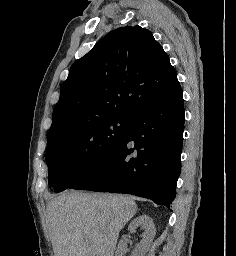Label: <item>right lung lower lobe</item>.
I'll return each instance as SVG.
<instances>
[{"mask_svg":"<svg viewBox=\"0 0 236 256\" xmlns=\"http://www.w3.org/2000/svg\"><path fill=\"white\" fill-rule=\"evenodd\" d=\"M184 118L179 84L148 102L122 143L68 188L133 194L170 210L181 172Z\"/></svg>","mask_w":236,"mask_h":256,"instance_id":"98d812e1","label":"right lung lower lobe"}]
</instances>
